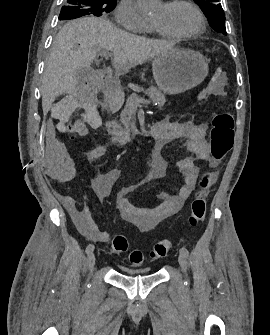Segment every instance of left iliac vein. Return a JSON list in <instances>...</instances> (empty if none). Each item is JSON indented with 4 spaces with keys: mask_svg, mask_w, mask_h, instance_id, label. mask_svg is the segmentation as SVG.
<instances>
[{
    "mask_svg": "<svg viewBox=\"0 0 270 335\" xmlns=\"http://www.w3.org/2000/svg\"><path fill=\"white\" fill-rule=\"evenodd\" d=\"M178 262L181 266L182 271H185L187 262H186V258L182 254H179Z\"/></svg>",
    "mask_w": 270,
    "mask_h": 335,
    "instance_id": "1",
    "label": "left iliac vein"
}]
</instances>
